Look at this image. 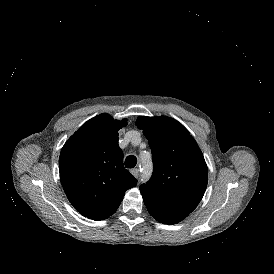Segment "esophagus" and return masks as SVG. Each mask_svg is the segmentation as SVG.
<instances>
[{"label": "esophagus", "instance_id": "1", "mask_svg": "<svg viewBox=\"0 0 274 274\" xmlns=\"http://www.w3.org/2000/svg\"><path fill=\"white\" fill-rule=\"evenodd\" d=\"M131 173L135 178H139V176H140V171L138 168L132 169Z\"/></svg>", "mask_w": 274, "mask_h": 274}]
</instances>
